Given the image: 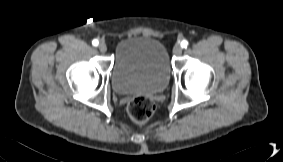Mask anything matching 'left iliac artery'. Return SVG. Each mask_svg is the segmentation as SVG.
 I'll list each match as a JSON object with an SVG mask.
<instances>
[{"label": "left iliac artery", "mask_w": 283, "mask_h": 162, "mask_svg": "<svg viewBox=\"0 0 283 162\" xmlns=\"http://www.w3.org/2000/svg\"><path fill=\"white\" fill-rule=\"evenodd\" d=\"M187 45H188V41H187V40H183V41L181 42V47H182V48H186Z\"/></svg>", "instance_id": "1"}]
</instances>
